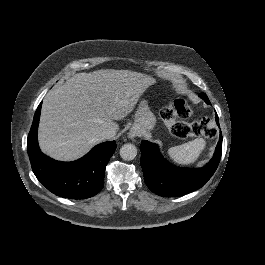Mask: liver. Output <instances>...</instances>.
<instances>
[{
  "instance_id": "1",
  "label": "liver",
  "mask_w": 265,
  "mask_h": 265,
  "mask_svg": "<svg viewBox=\"0 0 265 265\" xmlns=\"http://www.w3.org/2000/svg\"><path fill=\"white\" fill-rule=\"evenodd\" d=\"M155 82L138 72L101 69L76 73L62 85H55L42 104L41 150L58 160L80 158L105 140V129H119L113 120L126 117Z\"/></svg>"
}]
</instances>
